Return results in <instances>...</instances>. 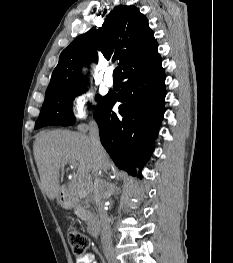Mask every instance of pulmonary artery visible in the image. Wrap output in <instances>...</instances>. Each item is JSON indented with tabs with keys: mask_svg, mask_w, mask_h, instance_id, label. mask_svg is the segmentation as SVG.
Instances as JSON below:
<instances>
[{
	"mask_svg": "<svg viewBox=\"0 0 233 263\" xmlns=\"http://www.w3.org/2000/svg\"><path fill=\"white\" fill-rule=\"evenodd\" d=\"M104 83L108 87H112L113 86L114 80L112 78V70L111 69H108L106 71V74H105V77H104Z\"/></svg>",
	"mask_w": 233,
	"mask_h": 263,
	"instance_id": "obj_1",
	"label": "pulmonary artery"
}]
</instances>
